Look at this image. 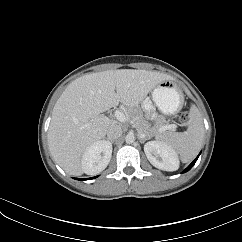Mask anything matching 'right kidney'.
Listing matches in <instances>:
<instances>
[{"label": "right kidney", "instance_id": "right-kidney-1", "mask_svg": "<svg viewBox=\"0 0 242 242\" xmlns=\"http://www.w3.org/2000/svg\"><path fill=\"white\" fill-rule=\"evenodd\" d=\"M112 156V143L110 141H97L86 148L81 163L84 173L96 175L103 171Z\"/></svg>", "mask_w": 242, "mask_h": 242}]
</instances>
